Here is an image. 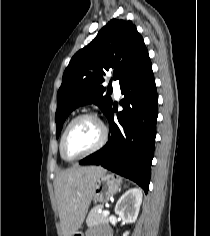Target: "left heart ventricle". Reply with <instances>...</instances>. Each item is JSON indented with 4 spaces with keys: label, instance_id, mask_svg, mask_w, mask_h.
Listing matches in <instances>:
<instances>
[{
    "label": "left heart ventricle",
    "instance_id": "left-heart-ventricle-1",
    "mask_svg": "<svg viewBox=\"0 0 210 236\" xmlns=\"http://www.w3.org/2000/svg\"><path fill=\"white\" fill-rule=\"evenodd\" d=\"M101 130L96 121L81 119L74 123L64 141V154L75 158L91 149L99 140Z\"/></svg>",
    "mask_w": 210,
    "mask_h": 236
}]
</instances>
